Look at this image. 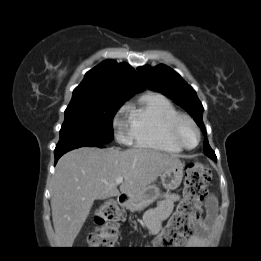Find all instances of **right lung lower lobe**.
<instances>
[{
	"label": "right lung lower lobe",
	"mask_w": 261,
	"mask_h": 261,
	"mask_svg": "<svg viewBox=\"0 0 261 261\" xmlns=\"http://www.w3.org/2000/svg\"><path fill=\"white\" fill-rule=\"evenodd\" d=\"M84 146H89V147H99V148H103L104 145L103 144H98V143H94V144H83V145H76V146H71V147H66V148H56L55 149V163H57L58 159L65 154L66 152L76 149V148H80V147H84Z\"/></svg>",
	"instance_id": "right-lung-lower-lobe-1"
}]
</instances>
